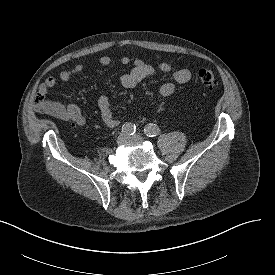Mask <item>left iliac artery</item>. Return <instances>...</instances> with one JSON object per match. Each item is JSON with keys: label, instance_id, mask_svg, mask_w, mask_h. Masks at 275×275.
<instances>
[{"label": "left iliac artery", "instance_id": "1", "mask_svg": "<svg viewBox=\"0 0 275 275\" xmlns=\"http://www.w3.org/2000/svg\"><path fill=\"white\" fill-rule=\"evenodd\" d=\"M160 130L159 127L155 124H148L145 128H144V133L146 134V136L148 137H155L159 134Z\"/></svg>", "mask_w": 275, "mask_h": 275}]
</instances>
